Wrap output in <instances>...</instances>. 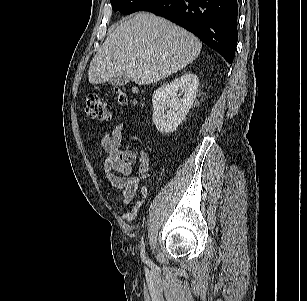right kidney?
Masks as SVG:
<instances>
[{"label": "right kidney", "mask_w": 307, "mask_h": 301, "mask_svg": "<svg viewBox=\"0 0 307 301\" xmlns=\"http://www.w3.org/2000/svg\"><path fill=\"white\" fill-rule=\"evenodd\" d=\"M199 79L196 74L188 72L170 83L161 85L154 91L153 123L161 133H171L183 121L189 112L198 92ZM183 94L179 98L178 91ZM167 113L164 114V111Z\"/></svg>", "instance_id": "ca27d5eb"}]
</instances>
